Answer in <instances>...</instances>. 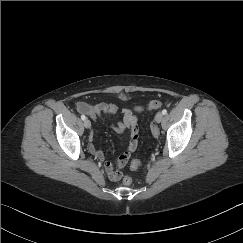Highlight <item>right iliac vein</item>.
Segmentation results:
<instances>
[{"label":"right iliac vein","mask_w":243,"mask_h":243,"mask_svg":"<svg viewBox=\"0 0 243 243\" xmlns=\"http://www.w3.org/2000/svg\"><path fill=\"white\" fill-rule=\"evenodd\" d=\"M84 126H85L87 129L91 128V122H90V120L86 119V120L84 121Z\"/></svg>","instance_id":"right-iliac-vein-1"}]
</instances>
